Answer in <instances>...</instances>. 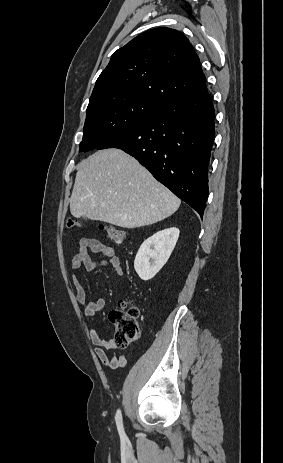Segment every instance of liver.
Returning <instances> with one entry per match:
<instances>
[{"label": "liver", "mask_w": 283, "mask_h": 463, "mask_svg": "<svg viewBox=\"0 0 283 463\" xmlns=\"http://www.w3.org/2000/svg\"><path fill=\"white\" fill-rule=\"evenodd\" d=\"M180 204L135 158L120 149H105L78 165L70 212L75 218L132 229L164 220Z\"/></svg>", "instance_id": "liver-1"}]
</instances>
